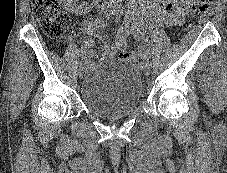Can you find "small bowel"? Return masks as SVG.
<instances>
[{"mask_svg":"<svg viewBox=\"0 0 227 173\" xmlns=\"http://www.w3.org/2000/svg\"><path fill=\"white\" fill-rule=\"evenodd\" d=\"M191 0H140V7H133L126 15L122 31L107 48L108 55H114L116 51L125 52L126 35L132 34L135 39L142 40L148 31L157 26H177L182 24L185 16L190 11ZM100 21L89 22L85 25V31L89 34H99ZM94 41L91 38L84 40L81 50L83 60L87 65H92L94 53L92 47ZM140 62L143 54H138Z\"/></svg>","mask_w":227,"mask_h":173,"instance_id":"small-bowel-1","label":"small bowel"}]
</instances>
